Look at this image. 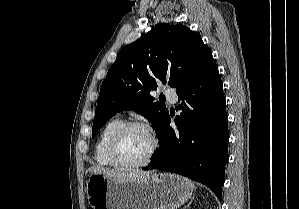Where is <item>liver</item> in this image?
<instances>
[{"instance_id":"6515ba94","label":"liver","mask_w":299,"mask_h":209,"mask_svg":"<svg viewBox=\"0 0 299 209\" xmlns=\"http://www.w3.org/2000/svg\"><path fill=\"white\" fill-rule=\"evenodd\" d=\"M88 172L103 174L117 181L142 180L150 175V172L142 170H109L99 166L90 167L86 173Z\"/></svg>"}]
</instances>
